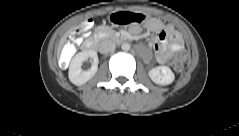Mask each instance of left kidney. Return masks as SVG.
Here are the masks:
<instances>
[{"instance_id":"5707ae66","label":"left kidney","mask_w":239,"mask_h":136,"mask_svg":"<svg viewBox=\"0 0 239 136\" xmlns=\"http://www.w3.org/2000/svg\"><path fill=\"white\" fill-rule=\"evenodd\" d=\"M148 75L154 83L159 85L171 84L175 79L174 73L167 66L155 67L149 71Z\"/></svg>"}]
</instances>
